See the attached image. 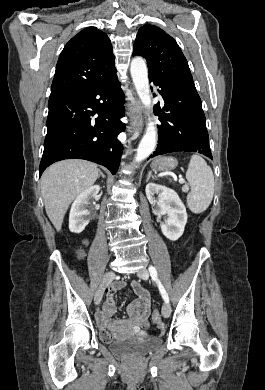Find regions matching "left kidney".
<instances>
[{
  "mask_svg": "<svg viewBox=\"0 0 265 390\" xmlns=\"http://www.w3.org/2000/svg\"><path fill=\"white\" fill-rule=\"evenodd\" d=\"M145 191L149 202L155 206V215L159 219L165 216L164 222L161 223L163 235L171 241L178 240L187 222L186 208L178 194L166 186L155 183H148ZM155 194L158 195V200H155Z\"/></svg>",
  "mask_w": 265,
  "mask_h": 390,
  "instance_id": "left-kidney-1",
  "label": "left kidney"
}]
</instances>
